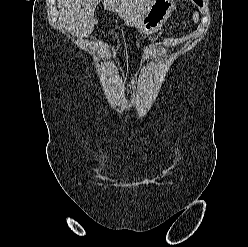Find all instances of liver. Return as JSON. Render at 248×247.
<instances>
[{
  "label": "liver",
  "mask_w": 248,
  "mask_h": 247,
  "mask_svg": "<svg viewBox=\"0 0 248 247\" xmlns=\"http://www.w3.org/2000/svg\"><path fill=\"white\" fill-rule=\"evenodd\" d=\"M102 2L105 9L118 14L128 26H137L152 0H58L57 6L64 27L78 34H90L96 6Z\"/></svg>",
  "instance_id": "obj_1"
}]
</instances>
